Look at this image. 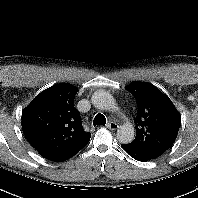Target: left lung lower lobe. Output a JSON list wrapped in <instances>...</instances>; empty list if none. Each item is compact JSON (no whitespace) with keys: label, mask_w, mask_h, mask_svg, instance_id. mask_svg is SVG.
I'll return each instance as SVG.
<instances>
[{"label":"left lung lower lobe","mask_w":198,"mask_h":198,"mask_svg":"<svg viewBox=\"0 0 198 198\" xmlns=\"http://www.w3.org/2000/svg\"><path fill=\"white\" fill-rule=\"evenodd\" d=\"M121 147L134 159L141 161V162H146V161H150L153 159H156L157 157H159L161 154H157V153H151V152H146V151H142L136 148H133L129 145H121Z\"/></svg>","instance_id":"1"}]
</instances>
